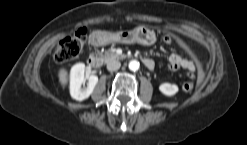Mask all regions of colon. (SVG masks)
<instances>
[{
	"label": "colon",
	"mask_w": 247,
	"mask_h": 145,
	"mask_svg": "<svg viewBox=\"0 0 247 145\" xmlns=\"http://www.w3.org/2000/svg\"><path fill=\"white\" fill-rule=\"evenodd\" d=\"M85 39L86 30L84 29L78 30L73 35L67 36L62 39L54 53L55 62L58 64H62L75 59L80 54ZM172 40L173 36L170 34H166L163 37V41L165 43H171ZM182 88L185 92H190L194 89V83L192 81H186L183 83Z\"/></svg>",
	"instance_id": "5ec220e1"
}]
</instances>
